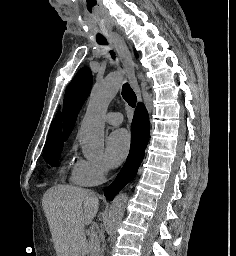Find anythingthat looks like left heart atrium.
I'll list each match as a JSON object with an SVG mask.
<instances>
[{"mask_svg":"<svg viewBox=\"0 0 236 256\" xmlns=\"http://www.w3.org/2000/svg\"><path fill=\"white\" fill-rule=\"evenodd\" d=\"M131 148V137L127 130L114 131L107 140V157L112 166H119Z\"/></svg>","mask_w":236,"mask_h":256,"instance_id":"39dd6f15","label":"left heart atrium"}]
</instances>
